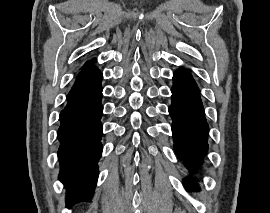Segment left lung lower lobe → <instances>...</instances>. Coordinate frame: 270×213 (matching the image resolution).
<instances>
[{"label": "left lung lower lobe", "instance_id": "1", "mask_svg": "<svg viewBox=\"0 0 270 213\" xmlns=\"http://www.w3.org/2000/svg\"><path fill=\"white\" fill-rule=\"evenodd\" d=\"M173 80L169 113L173 120L174 148L190 173L194 174L201 167L208 150V124L198 87L191 74L179 69L173 74ZM183 184L186 190L198 187L195 178H187Z\"/></svg>", "mask_w": 270, "mask_h": 213}]
</instances>
